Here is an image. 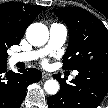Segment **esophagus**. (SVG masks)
Listing matches in <instances>:
<instances>
[{
  "instance_id": "1",
  "label": "esophagus",
  "mask_w": 108,
  "mask_h": 108,
  "mask_svg": "<svg viewBox=\"0 0 108 108\" xmlns=\"http://www.w3.org/2000/svg\"><path fill=\"white\" fill-rule=\"evenodd\" d=\"M51 74L50 73H46V72H44L43 74H42V77H43V79H49V78H51Z\"/></svg>"
}]
</instances>
